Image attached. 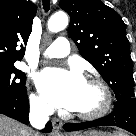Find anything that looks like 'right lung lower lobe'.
I'll return each mask as SVG.
<instances>
[{
  "mask_svg": "<svg viewBox=\"0 0 136 136\" xmlns=\"http://www.w3.org/2000/svg\"><path fill=\"white\" fill-rule=\"evenodd\" d=\"M0 114H4L24 124H28L29 104L27 95L16 99H0ZM42 131L44 133L51 132V123L48 122L45 129H43Z\"/></svg>",
  "mask_w": 136,
  "mask_h": 136,
  "instance_id": "1",
  "label": "right lung lower lobe"
}]
</instances>
